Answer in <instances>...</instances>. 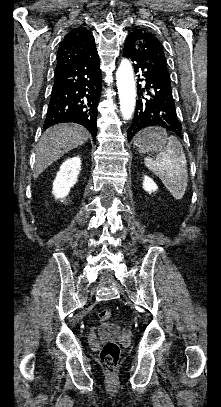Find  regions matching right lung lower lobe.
<instances>
[{
	"label": "right lung lower lobe",
	"instance_id": "98d812e1",
	"mask_svg": "<svg viewBox=\"0 0 221 407\" xmlns=\"http://www.w3.org/2000/svg\"><path fill=\"white\" fill-rule=\"evenodd\" d=\"M101 84L96 47L90 56L55 72L44 130L54 124L74 122L87 128L95 140Z\"/></svg>",
	"mask_w": 221,
	"mask_h": 407
}]
</instances>
